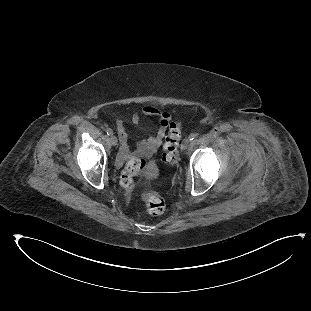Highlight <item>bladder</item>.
I'll use <instances>...</instances> for the list:
<instances>
[{
    "instance_id": "1",
    "label": "bladder",
    "mask_w": 311,
    "mask_h": 311,
    "mask_svg": "<svg viewBox=\"0 0 311 311\" xmlns=\"http://www.w3.org/2000/svg\"><path fill=\"white\" fill-rule=\"evenodd\" d=\"M152 164H153V162H152V161H149V163H148L146 169L142 170V173H143L144 175H146L147 177H150V176H151V173H152V171H151V166H152Z\"/></svg>"
}]
</instances>
